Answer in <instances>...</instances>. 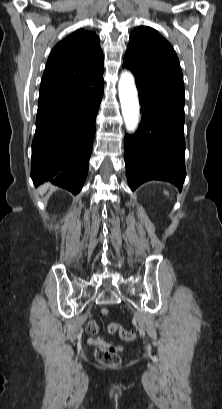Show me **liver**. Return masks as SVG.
Returning <instances> with one entry per match:
<instances>
[{
  "label": "liver",
  "mask_w": 222,
  "mask_h": 409,
  "mask_svg": "<svg viewBox=\"0 0 222 409\" xmlns=\"http://www.w3.org/2000/svg\"><path fill=\"white\" fill-rule=\"evenodd\" d=\"M48 187H49V185H44V186L40 187V189H39L40 193L43 194L44 192H46Z\"/></svg>",
  "instance_id": "obj_1"
}]
</instances>
